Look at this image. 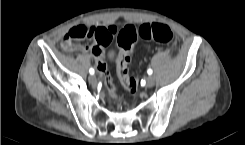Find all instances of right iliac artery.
Listing matches in <instances>:
<instances>
[{
    "mask_svg": "<svg viewBox=\"0 0 245 145\" xmlns=\"http://www.w3.org/2000/svg\"><path fill=\"white\" fill-rule=\"evenodd\" d=\"M89 72H90L91 75H93L95 73L93 68H90Z\"/></svg>",
    "mask_w": 245,
    "mask_h": 145,
    "instance_id": "82829eb1",
    "label": "right iliac artery"
}]
</instances>
